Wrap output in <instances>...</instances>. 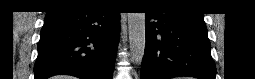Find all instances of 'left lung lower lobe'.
<instances>
[{
	"label": "left lung lower lobe",
	"mask_w": 255,
	"mask_h": 79,
	"mask_svg": "<svg viewBox=\"0 0 255 79\" xmlns=\"http://www.w3.org/2000/svg\"><path fill=\"white\" fill-rule=\"evenodd\" d=\"M146 13L141 79L191 76L215 79L216 68L203 14L161 6Z\"/></svg>",
	"instance_id": "0a47b994"
}]
</instances>
